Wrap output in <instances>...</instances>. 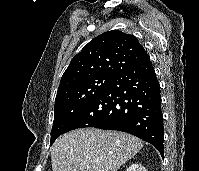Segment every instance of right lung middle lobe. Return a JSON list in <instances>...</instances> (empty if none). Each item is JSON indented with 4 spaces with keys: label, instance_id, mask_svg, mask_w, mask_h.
<instances>
[{
    "label": "right lung middle lobe",
    "instance_id": "1",
    "mask_svg": "<svg viewBox=\"0 0 199 171\" xmlns=\"http://www.w3.org/2000/svg\"><path fill=\"white\" fill-rule=\"evenodd\" d=\"M114 77L111 75L95 76L56 98L50 145L63 133L76 113L106 87Z\"/></svg>",
    "mask_w": 199,
    "mask_h": 171
}]
</instances>
